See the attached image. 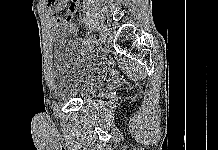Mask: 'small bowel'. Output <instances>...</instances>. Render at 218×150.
<instances>
[{"instance_id":"small-bowel-1","label":"small bowel","mask_w":218,"mask_h":150,"mask_svg":"<svg viewBox=\"0 0 218 150\" xmlns=\"http://www.w3.org/2000/svg\"><path fill=\"white\" fill-rule=\"evenodd\" d=\"M69 3L66 17L60 19L56 16L57 13L64 10ZM80 0H48L47 11L50 14V25L55 32H76L78 27L73 22L72 18L77 12Z\"/></svg>"}]
</instances>
